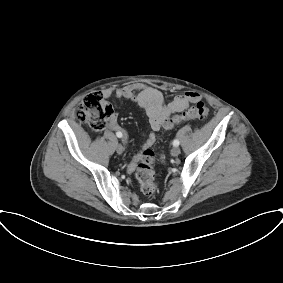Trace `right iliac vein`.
Returning <instances> with one entry per match:
<instances>
[{"label": "right iliac vein", "mask_w": 283, "mask_h": 283, "mask_svg": "<svg viewBox=\"0 0 283 283\" xmlns=\"http://www.w3.org/2000/svg\"><path fill=\"white\" fill-rule=\"evenodd\" d=\"M116 151H117L118 154H122L123 151H124L123 146H122L121 144H118V145L116 146Z\"/></svg>", "instance_id": "63e3f726"}]
</instances>
